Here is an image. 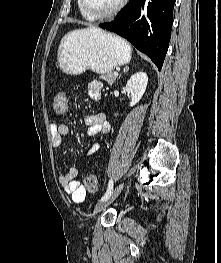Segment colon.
<instances>
[{
	"instance_id": "obj_1",
	"label": "colon",
	"mask_w": 221,
	"mask_h": 263,
	"mask_svg": "<svg viewBox=\"0 0 221 263\" xmlns=\"http://www.w3.org/2000/svg\"><path fill=\"white\" fill-rule=\"evenodd\" d=\"M67 95L64 91H60L55 94L52 102L51 108L56 115H63L67 110ZM84 187L86 191L92 194L98 192V179L93 173L88 174L84 179Z\"/></svg>"
}]
</instances>
